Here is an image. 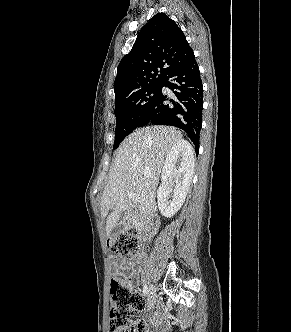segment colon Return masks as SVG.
<instances>
[{
  "instance_id": "1",
  "label": "colon",
  "mask_w": 291,
  "mask_h": 332,
  "mask_svg": "<svg viewBox=\"0 0 291 332\" xmlns=\"http://www.w3.org/2000/svg\"><path fill=\"white\" fill-rule=\"evenodd\" d=\"M107 244L114 254L126 261H134L139 257L138 239L132 233L112 236ZM110 295V332H147L146 324L140 320L144 301L132 291L130 281L124 274L112 275Z\"/></svg>"
}]
</instances>
